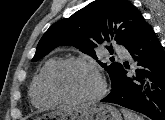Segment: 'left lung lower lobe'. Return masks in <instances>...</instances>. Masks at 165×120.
I'll return each mask as SVG.
<instances>
[{"label": "left lung lower lobe", "mask_w": 165, "mask_h": 120, "mask_svg": "<svg viewBox=\"0 0 165 120\" xmlns=\"http://www.w3.org/2000/svg\"><path fill=\"white\" fill-rule=\"evenodd\" d=\"M136 66L124 62L117 86L101 102H110L140 112L152 120H165V52L153 28L143 20L139 30L125 46ZM145 76L151 81L145 92Z\"/></svg>", "instance_id": "left-lung-lower-lobe-1"}]
</instances>
